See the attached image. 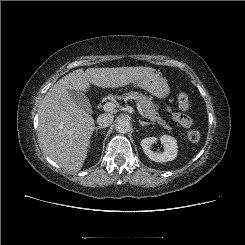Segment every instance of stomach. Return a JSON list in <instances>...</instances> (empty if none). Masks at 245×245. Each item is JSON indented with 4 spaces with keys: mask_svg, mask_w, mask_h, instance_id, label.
<instances>
[{
    "mask_svg": "<svg viewBox=\"0 0 245 245\" xmlns=\"http://www.w3.org/2000/svg\"><path fill=\"white\" fill-rule=\"evenodd\" d=\"M134 86L140 87L153 96L164 99L170 94V87L167 81L159 74L152 73L132 83Z\"/></svg>",
    "mask_w": 245,
    "mask_h": 245,
    "instance_id": "0dacf381",
    "label": "stomach"
}]
</instances>
